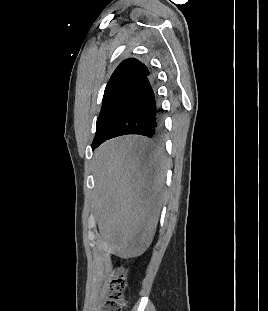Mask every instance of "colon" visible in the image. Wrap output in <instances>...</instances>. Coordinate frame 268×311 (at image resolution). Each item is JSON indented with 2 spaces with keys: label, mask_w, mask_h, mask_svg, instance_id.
<instances>
[{
  "label": "colon",
  "mask_w": 268,
  "mask_h": 311,
  "mask_svg": "<svg viewBox=\"0 0 268 311\" xmlns=\"http://www.w3.org/2000/svg\"><path fill=\"white\" fill-rule=\"evenodd\" d=\"M125 277L118 272L108 283L105 296V304L101 311H125L127 299L125 297Z\"/></svg>",
  "instance_id": "1"
}]
</instances>
